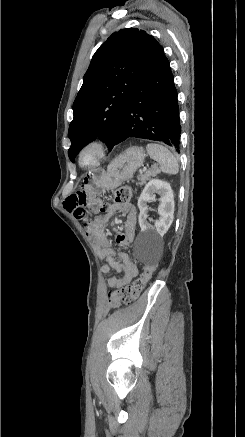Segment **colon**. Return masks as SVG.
<instances>
[{"mask_svg": "<svg viewBox=\"0 0 245 437\" xmlns=\"http://www.w3.org/2000/svg\"><path fill=\"white\" fill-rule=\"evenodd\" d=\"M132 196V190L130 187H121L114 194V202L119 204L129 203ZM108 208V205L102 204L100 211L103 213ZM156 270L155 265H146L140 276L135 280L132 285L121 287L118 290L109 292L107 295L108 304L111 308L116 309L122 304L132 303L141 293L146 283L152 278Z\"/></svg>", "mask_w": 245, "mask_h": 437, "instance_id": "colon-1", "label": "colon"}]
</instances>
